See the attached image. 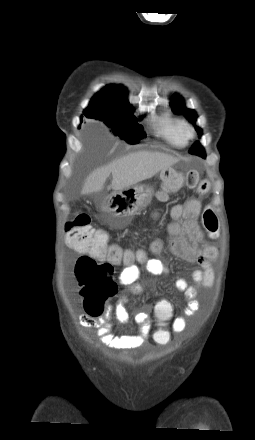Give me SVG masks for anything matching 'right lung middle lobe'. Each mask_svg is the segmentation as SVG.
I'll use <instances>...</instances> for the list:
<instances>
[{
    "instance_id": "right-lung-middle-lobe-1",
    "label": "right lung middle lobe",
    "mask_w": 255,
    "mask_h": 440,
    "mask_svg": "<svg viewBox=\"0 0 255 440\" xmlns=\"http://www.w3.org/2000/svg\"><path fill=\"white\" fill-rule=\"evenodd\" d=\"M131 105L126 106H107L100 103L90 102L84 115L88 118H95L111 128L114 134L129 144H137L146 137L142 125L137 123V118L133 115ZM142 119V116L140 120Z\"/></svg>"
}]
</instances>
